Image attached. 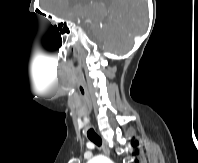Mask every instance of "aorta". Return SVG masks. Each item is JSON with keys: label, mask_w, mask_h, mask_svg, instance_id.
<instances>
[{"label": "aorta", "mask_w": 198, "mask_h": 163, "mask_svg": "<svg viewBox=\"0 0 198 163\" xmlns=\"http://www.w3.org/2000/svg\"><path fill=\"white\" fill-rule=\"evenodd\" d=\"M88 163H111V161L105 156L98 155L89 160Z\"/></svg>", "instance_id": "aorta-1"}]
</instances>
